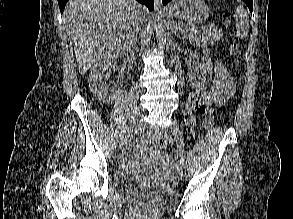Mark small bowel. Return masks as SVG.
Wrapping results in <instances>:
<instances>
[{"instance_id": "small-bowel-1", "label": "small bowel", "mask_w": 293, "mask_h": 219, "mask_svg": "<svg viewBox=\"0 0 293 219\" xmlns=\"http://www.w3.org/2000/svg\"><path fill=\"white\" fill-rule=\"evenodd\" d=\"M215 78L207 91H195L188 96V102L195 110L201 107L211 109L213 104L224 105L234 95L236 82L228 69L221 63L214 67Z\"/></svg>"}]
</instances>
